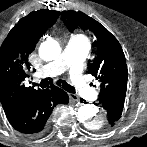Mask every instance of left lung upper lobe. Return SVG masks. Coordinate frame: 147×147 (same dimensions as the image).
Listing matches in <instances>:
<instances>
[{
    "instance_id": "1",
    "label": "left lung upper lobe",
    "mask_w": 147,
    "mask_h": 147,
    "mask_svg": "<svg viewBox=\"0 0 147 147\" xmlns=\"http://www.w3.org/2000/svg\"><path fill=\"white\" fill-rule=\"evenodd\" d=\"M67 26L74 30L81 27L96 36L95 58L91 61L89 73L101 82L99 99L115 95L125 96L128 71L122 48L115 37L99 22L82 12L63 11Z\"/></svg>"
}]
</instances>
